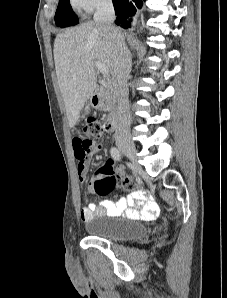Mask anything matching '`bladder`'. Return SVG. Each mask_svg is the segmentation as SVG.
Masks as SVG:
<instances>
[{
    "mask_svg": "<svg viewBox=\"0 0 227 298\" xmlns=\"http://www.w3.org/2000/svg\"><path fill=\"white\" fill-rule=\"evenodd\" d=\"M85 229L90 236L109 241H129L148 235L145 225L128 219L96 217L88 221Z\"/></svg>",
    "mask_w": 227,
    "mask_h": 298,
    "instance_id": "31cf9c89",
    "label": "bladder"
}]
</instances>
